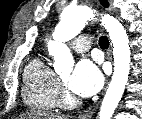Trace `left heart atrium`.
I'll use <instances>...</instances> for the list:
<instances>
[{"mask_svg": "<svg viewBox=\"0 0 142 119\" xmlns=\"http://www.w3.org/2000/svg\"><path fill=\"white\" fill-rule=\"evenodd\" d=\"M103 84L98 66L90 60L80 61L69 80V88L77 95L89 97L97 93Z\"/></svg>", "mask_w": 142, "mask_h": 119, "instance_id": "left-heart-atrium-1", "label": "left heart atrium"}]
</instances>
